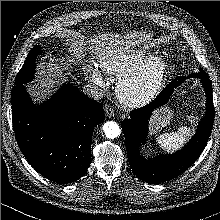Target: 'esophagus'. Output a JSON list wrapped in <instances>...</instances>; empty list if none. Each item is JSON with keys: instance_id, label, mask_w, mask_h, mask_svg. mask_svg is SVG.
<instances>
[{"instance_id": "obj_1", "label": "esophagus", "mask_w": 220, "mask_h": 220, "mask_svg": "<svg viewBox=\"0 0 220 220\" xmlns=\"http://www.w3.org/2000/svg\"><path fill=\"white\" fill-rule=\"evenodd\" d=\"M104 111H105V115L108 118L113 117L115 114L114 109L110 105H107V104L104 106Z\"/></svg>"}]
</instances>
